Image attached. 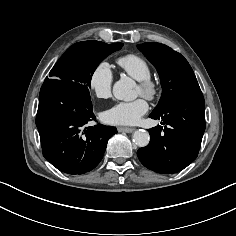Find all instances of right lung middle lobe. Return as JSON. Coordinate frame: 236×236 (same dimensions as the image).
<instances>
[{"instance_id":"1","label":"right lung middle lobe","mask_w":236,"mask_h":236,"mask_svg":"<svg viewBox=\"0 0 236 236\" xmlns=\"http://www.w3.org/2000/svg\"><path fill=\"white\" fill-rule=\"evenodd\" d=\"M122 46V43L106 44L94 40L78 42L61 56L44 83L50 80L67 81L78 92L90 97L89 87L95 69L103 59Z\"/></svg>"}]
</instances>
